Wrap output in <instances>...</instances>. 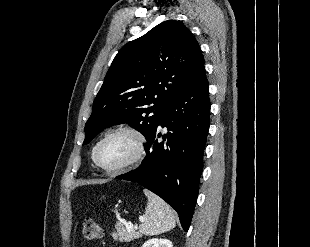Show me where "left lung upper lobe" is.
Returning <instances> with one entry per match:
<instances>
[{
    "label": "left lung upper lobe",
    "mask_w": 310,
    "mask_h": 247,
    "mask_svg": "<svg viewBox=\"0 0 310 247\" xmlns=\"http://www.w3.org/2000/svg\"><path fill=\"white\" fill-rule=\"evenodd\" d=\"M203 65L198 42L176 20L164 21L127 43L114 58L94 100L83 145L103 128L123 123L148 140L167 105Z\"/></svg>",
    "instance_id": "5c2ea615"
}]
</instances>
